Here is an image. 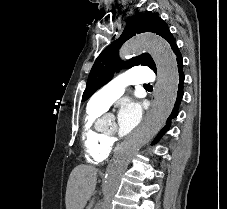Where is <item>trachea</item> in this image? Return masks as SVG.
<instances>
[{
	"mask_svg": "<svg viewBox=\"0 0 227 209\" xmlns=\"http://www.w3.org/2000/svg\"><path fill=\"white\" fill-rule=\"evenodd\" d=\"M145 87H152L150 84H144Z\"/></svg>",
	"mask_w": 227,
	"mask_h": 209,
	"instance_id": "obj_1",
	"label": "trachea"
}]
</instances>
